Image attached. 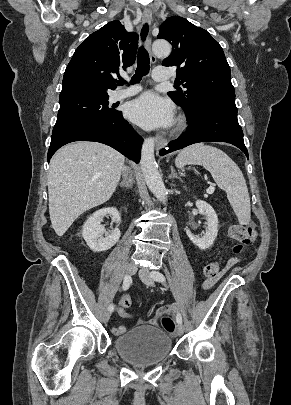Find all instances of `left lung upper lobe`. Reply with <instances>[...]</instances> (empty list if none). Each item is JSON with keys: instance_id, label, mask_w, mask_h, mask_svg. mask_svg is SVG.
Here are the masks:
<instances>
[{"instance_id": "1", "label": "left lung upper lobe", "mask_w": 291, "mask_h": 405, "mask_svg": "<svg viewBox=\"0 0 291 405\" xmlns=\"http://www.w3.org/2000/svg\"><path fill=\"white\" fill-rule=\"evenodd\" d=\"M157 37L172 44V53L162 65L176 67L177 81L186 88L168 92L177 105L193 113L203 98L235 97L224 52L206 30L174 16L162 23Z\"/></svg>"}]
</instances>
